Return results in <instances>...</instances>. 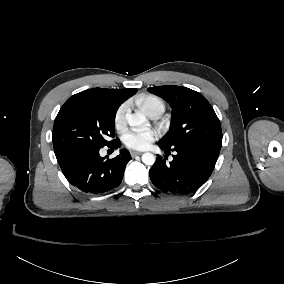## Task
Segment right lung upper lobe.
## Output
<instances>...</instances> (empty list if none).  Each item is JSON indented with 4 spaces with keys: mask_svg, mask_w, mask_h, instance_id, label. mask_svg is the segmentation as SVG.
<instances>
[{
    "mask_svg": "<svg viewBox=\"0 0 284 284\" xmlns=\"http://www.w3.org/2000/svg\"><path fill=\"white\" fill-rule=\"evenodd\" d=\"M137 92V89H104V88H92L82 91L94 95L103 101H105L110 107L117 108L129 97Z\"/></svg>",
    "mask_w": 284,
    "mask_h": 284,
    "instance_id": "right-lung-upper-lobe-1",
    "label": "right lung upper lobe"
}]
</instances>
